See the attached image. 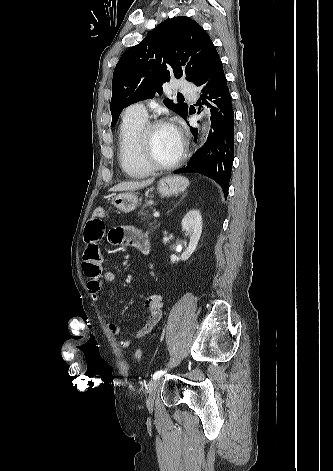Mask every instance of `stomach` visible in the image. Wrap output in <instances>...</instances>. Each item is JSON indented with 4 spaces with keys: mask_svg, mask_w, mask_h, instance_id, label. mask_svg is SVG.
<instances>
[{
    "mask_svg": "<svg viewBox=\"0 0 333 471\" xmlns=\"http://www.w3.org/2000/svg\"><path fill=\"white\" fill-rule=\"evenodd\" d=\"M188 185L189 182L185 177L168 176L160 179L157 185V190L162 197H169L184 191ZM111 203L118 210L124 213H129L138 207L139 201L136 194L126 192L115 195L111 199Z\"/></svg>",
    "mask_w": 333,
    "mask_h": 471,
    "instance_id": "1",
    "label": "stomach"
}]
</instances>
